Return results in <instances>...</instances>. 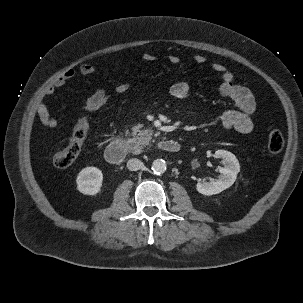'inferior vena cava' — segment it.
Segmentation results:
<instances>
[{
    "label": "inferior vena cava",
    "mask_w": 303,
    "mask_h": 303,
    "mask_svg": "<svg viewBox=\"0 0 303 303\" xmlns=\"http://www.w3.org/2000/svg\"><path fill=\"white\" fill-rule=\"evenodd\" d=\"M143 167H144L143 162L136 158H132V159L128 160V162H127V168L130 171H137V170L142 169Z\"/></svg>",
    "instance_id": "1"
}]
</instances>
